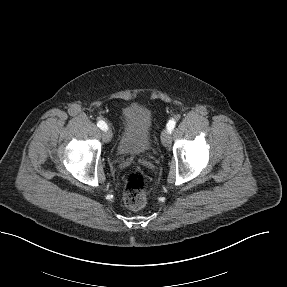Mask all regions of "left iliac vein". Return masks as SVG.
<instances>
[{"label": "left iliac vein", "instance_id": "4c4485c4", "mask_svg": "<svg viewBox=\"0 0 287 287\" xmlns=\"http://www.w3.org/2000/svg\"><path fill=\"white\" fill-rule=\"evenodd\" d=\"M161 142L163 146L168 147L171 144V135L168 129H164L161 133Z\"/></svg>", "mask_w": 287, "mask_h": 287}]
</instances>
